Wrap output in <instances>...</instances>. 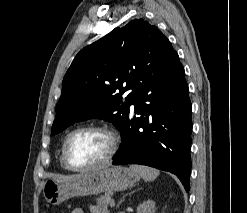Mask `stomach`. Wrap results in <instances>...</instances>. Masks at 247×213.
Masks as SVG:
<instances>
[{
    "instance_id": "obj_1",
    "label": "stomach",
    "mask_w": 247,
    "mask_h": 213,
    "mask_svg": "<svg viewBox=\"0 0 247 213\" xmlns=\"http://www.w3.org/2000/svg\"><path fill=\"white\" fill-rule=\"evenodd\" d=\"M138 180V174L130 168L112 166L66 179L46 180L43 196L48 203L58 205L72 197L125 190Z\"/></svg>"
}]
</instances>
